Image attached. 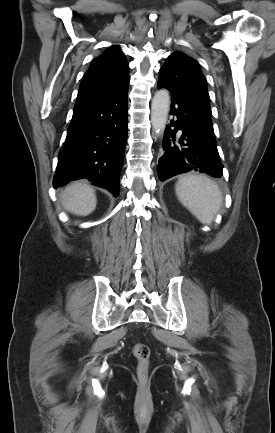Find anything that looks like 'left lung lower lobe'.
I'll list each match as a JSON object with an SVG mask.
<instances>
[{
    "mask_svg": "<svg viewBox=\"0 0 275 433\" xmlns=\"http://www.w3.org/2000/svg\"><path fill=\"white\" fill-rule=\"evenodd\" d=\"M157 87L171 92L170 114L174 116L164 132L163 155L157 166L159 180L164 181L188 171L220 178L223 165L212 125L205 121L191 102L165 81L158 80ZM179 130L182 134L177 133Z\"/></svg>",
    "mask_w": 275,
    "mask_h": 433,
    "instance_id": "obj_1",
    "label": "left lung lower lobe"
}]
</instances>
